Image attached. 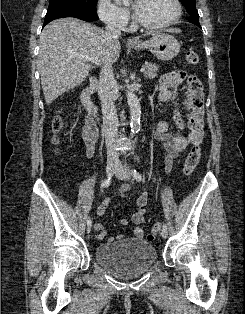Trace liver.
<instances>
[{
    "instance_id": "1",
    "label": "liver",
    "mask_w": 245,
    "mask_h": 314,
    "mask_svg": "<svg viewBox=\"0 0 245 314\" xmlns=\"http://www.w3.org/2000/svg\"><path fill=\"white\" fill-rule=\"evenodd\" d=\"M39 47L38 69L47 105L78 87L93 68L76 54L95 57L103 64H113L121 50L118 36L71 17L46 25L40 35Z\"/></svg>"
}]
</instances>
